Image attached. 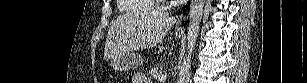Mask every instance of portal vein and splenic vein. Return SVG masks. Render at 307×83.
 Returning a JSON list of instances; mask_svg holds the SVG:
<instances>
[{"instance_id":"18ae733b","label":"portal vein and splenic vein","mask_w":307,"mask_h":83,"mask_svg":"<svg viewBox=\"0 0 307 83\" xmlns=\"http://www.w3.org/2000/svg\"><path fill=\"white\" fill-rule=\"evenodd\" d=\"M161 80L165 81L166 80V77L165 76H160Z\"/></svg>"}]
</instances>
